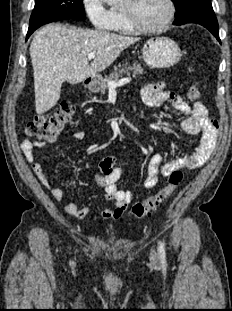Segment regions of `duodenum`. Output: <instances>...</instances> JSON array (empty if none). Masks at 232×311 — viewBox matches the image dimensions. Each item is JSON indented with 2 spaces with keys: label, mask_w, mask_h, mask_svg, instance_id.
Wrapping results in <instances>:
<instances>
[{
  "label": "duodenum",
  "mask_w": 232,
  "mask_h": 311,
  "mask_svg": "<svg viewBox=\"0 0 232 311\" xmlns=\"http://www.w3.org/2000/svg\"><path fill=\"white\" fill-rule=\"evenodd\" d=\"M91 83V80L89 78L85 79L84 84L88 86Z\"/></svg>",
  "instance_id": "1"
}]
</instances>
